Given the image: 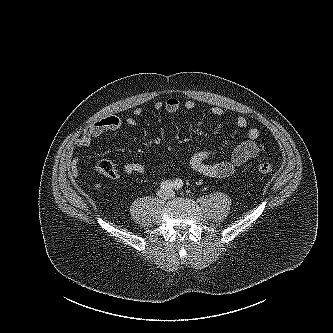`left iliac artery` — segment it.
Listing matches in <instances>:
<instances>
[{"label": "left iliac artery", "instance_id": "obj_1", "mask_svg": "<svg viewBox=\"0 0 333 333\" xmlns=\"http://www.w3.org/2000/svg\"><path fill=\"white\" fill-rule=\"evenodd\" d=\"M183 186V181L181 179H176L174 182V188L180 190Z\"/></svg>", "mask_w": 333, "mask_h": 333}]
</instances>
